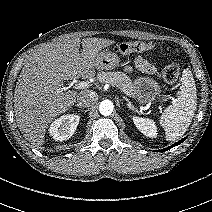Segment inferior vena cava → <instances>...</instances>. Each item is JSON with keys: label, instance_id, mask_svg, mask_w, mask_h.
<instances>
[{"label": "inferior vena cava", "instance_id": "1", "mask_svg": "<svg viewBox=\"0 0 212 212\" xmlns=\"http://www.w3.org/2000/svg\"><path fill=\"white\" fill-rule=\"evenodd\" d=\"M77 100H79V104H81L84 107H89L91 105H94L98 101V94L94 91H87L80 93Z\"/></svg>", "mask_w": 212, "mask_h": 212}]
</instances>
